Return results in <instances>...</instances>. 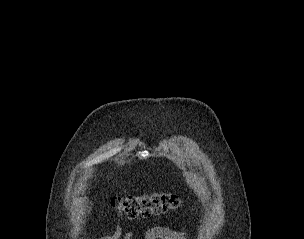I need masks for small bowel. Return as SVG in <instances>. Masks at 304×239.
<instances>
[{
	"mask_svg": "<svg viewBox=\"0 0 304 239\" xmlns=\"http://www.w3.org/2000/svg\"><path fill=\"white\" fill-rule=\"evenodd\" d=\"M133 232L123 233L119 226H114L113 231L101 239H134ZM145 239H187L186 232L166 227H152L145 233Z\"/></svg>",
	"mask_w": 304,
	"mask_h": 239,
	"instance_id": "small-bowel-1",
	"label": "small bowel"
}]
</instances>
